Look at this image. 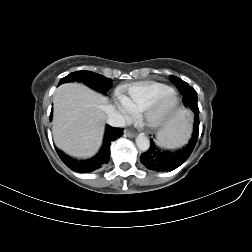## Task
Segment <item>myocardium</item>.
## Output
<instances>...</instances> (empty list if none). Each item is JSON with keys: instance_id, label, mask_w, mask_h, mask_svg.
Wrapping results in <instances>:
<instances>
[{"instance_id": "1", "label": "myocardium", "mask_w": 252, "mask_h": 252, "mask_svg": "<svg viewBox=\"0 0 252 252\" xmlns=\"http://www.w3.org/2000/svg\"><path fill=\"white\" fill-rule=\"evenodd\" d=\"M178 104L177 94L171 89L154 98L138 111L139 121L148 128H160L169 120Z\"/></svg>"}]
</instances>
